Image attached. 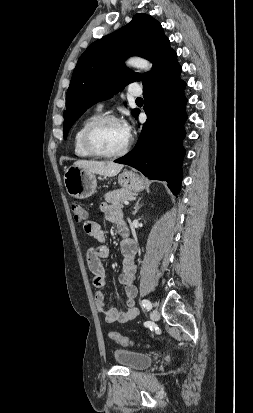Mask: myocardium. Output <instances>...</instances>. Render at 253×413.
Returning <instances> with one entry per match:
<instances>
[{
  "instance_id": "f54148a6",
  "label": "myocardium",
  "mask_w": 253,
  "mask_h": 413,
  "mask_svg": "<svg viewBox=\"0 0 253 413\" xmlns=\"http://www.w3.org/2000/svg\"><path fill=\"white\" fill-rule=\"evenodd\" d=\"M107 122H119V119L114 115H100V116L96 117L94 120H92L85 127V129L82 133V144H83L85 150L88 153H90L92 156L100 157V158H117V157H121L129 151V149L132 145L131 137H128V140H127L126 144L124 145V147L122 149H120L117 152H113V153H106V152H102V151L98 150L97 147L95 146L94 142H93L94 132L101 125H103Z\"/></svg>"
}]
</instances>
